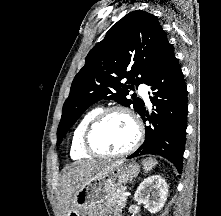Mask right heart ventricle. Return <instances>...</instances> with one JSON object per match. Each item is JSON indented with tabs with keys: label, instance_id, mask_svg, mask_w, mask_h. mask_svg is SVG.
<instances>
[{
	"label": "right heart ventricle",
	"instance_id": "right-heart-ventricle-1",
	"mask_svg": "<svg viewBox=\"0 0 221 216\" xmlns=\"http://www.w3.org/2000/svg\"><path fill=\"white\" fill-rule=\"evenodd\" d=\"M101 109L99 107H94L83 114L79 122L77 123L70 142V156L73 159H83L90 157V154L87 153L82 145V136L83 132L88 125V123L92 120L94 116H96Z\"/></svg>",
	"mask_w": 221,
	"mask_h": 216
}]
</instances>
